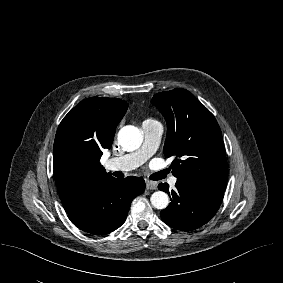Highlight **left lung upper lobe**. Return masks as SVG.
Here are the masks:
<instances>
[{
	"label": "left lung upper lobe",
	"instance_id": "left-lung-upper-lobe-1",
	"mask_svg": "<svg viewBox=\"0 0 283 283\" xmlns=\"http://www.w3.org/2000/svg\"><path fill=\"white\" fill-rule=\"evenodd\" d=\"M152 103L167 121L166 158L175 157L172 174L214 193H224L227 161L214 115L189 91L157 93Z\"/></svg>",
	"mask_w": 283,
	"mask_h": 283
}]
</instances>
